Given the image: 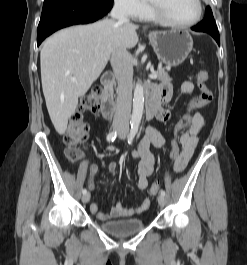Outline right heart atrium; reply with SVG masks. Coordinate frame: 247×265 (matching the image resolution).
Here are the masks:
<instances>
[{"mask_svg": "<svg viewBox=\"0 0 247 265\" xmlns=\"http://www.w3.org/2000/svg\"><path fill=\"white\" fill-rule=\"evenodd\" d=\"M114 5L119 12L132 19L140 18L147 9L144 0H114Z\"/></svg>", "mask_w": 247, "mask_h": 265, "instance_id": "obj_1", "label": "right heart atrium"}]
</instances>
